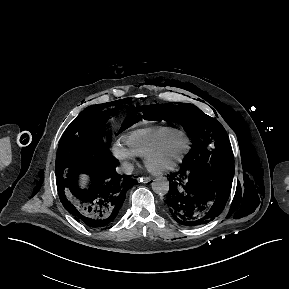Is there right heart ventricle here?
Returning <instances> with one entry per match:
<instances>
[{
    "label": "right heart ventricle",
    "instance_id": "1",
    "mask_svg": "<svg viewBox=\"0 0 289 289\" xmlns=\"http://www.w3.org/2000/svg\"><path fill=\"white\" fill-rule=\"evenodd\" d=\"M177 131L179 130L168 126L144 127L124 135L121 141L135 156L144 157Z\"/></svg>",
    "mask_w": 289,
    "mask_h": 289
}]
</instances>
